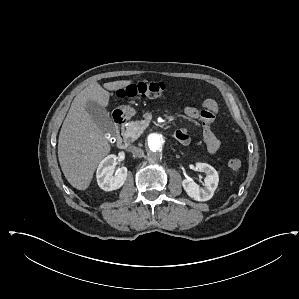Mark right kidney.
<instances>
[{"label": "right kidney", "mask_w": 299, "mask_h": 299, "mask_svg": "<svg viewBox=\"0 0 299 299\" xmlns=\"http://www.w3.org/2000/svg\"><path fill=\"white\" fill-rule=\"evenodd\" d=\"M117 157L114 154L105 157L99 164L96 172L97 183L105 191L119 189L126 181L127 168L121 167L113 176Z\"/></svg>", "instance_id": "1"}]
</instances>
